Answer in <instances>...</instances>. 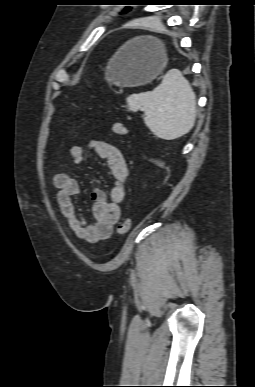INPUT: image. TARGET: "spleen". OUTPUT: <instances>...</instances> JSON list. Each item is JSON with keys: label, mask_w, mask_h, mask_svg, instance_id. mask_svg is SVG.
Wrapping results in <instances>:
<instances>
[{"label": "spleen", "mask_w": 255, "mask_h": 387, "mask_svg": "<svg viewBox=\"0 0 255 387\" xmlns=\"http://www.w3.org/2000/svg\"><path fill=\"white\" fill-rule=\"evenodd\" d=\"M129 110H144V122L159 138L173 140L187 134L196 120V95L181 72L169 70L153 91L132 94Z\"/></svg>", "instance_id": "spleen-1"}]
</instances>
